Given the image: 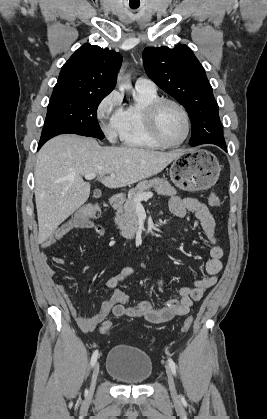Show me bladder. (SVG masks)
<instances>
[{
  "label": "bladder",
  "mask_w": 267,
  "mask_h": 419,
  "mask_svg": "<svg viewBox=\"0 0 267 419\" xmlns=\"http://www.w3.org/2000/svg\"><path fill=\"white\" fill-rule=\"evenodd\" d=\"M106 372L122 384L143 385L152 376L153 363L150 356L138 348L116 345L108 353Z\"/></svg>",
  "instance_id": "1"
}]
</instances>
